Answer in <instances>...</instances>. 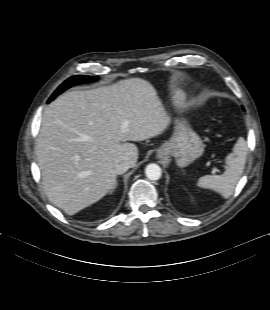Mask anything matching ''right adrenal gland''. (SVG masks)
Masks as SVG:
<instances>
[{"label": "right adrenal gland", "mask_w": 270, "mask_h": 310, "mask_svg": "<svg viewBox=\"0 0 270 310\" xmlns=\"http://www.w3.org/2000/svg\"><path fill=\"white\" fill-rule=\"evenodd\" d=\"M116 186H117V184H116L115 187L110 191L109 194H112V193H113V191H114V189L116 188Z\"/></svg>", "instance_id": "obj_1"}]
</instances>
